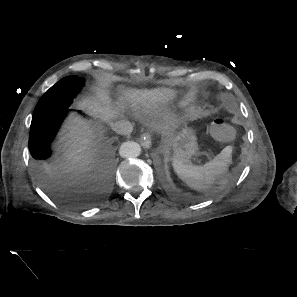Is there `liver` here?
<instances>
[{
	"label": "liver",
	"instance_id": "1",
	"mask_svg": "<svg viewBox=\"0 0 297 297\" xmlns=\"http://www.w3.org/2000/svg\"><path fill=\"white\" fill-rule=\"evenodd\" d=\"M129 99L145 106L165 104L176 96V91L169 88H155L152 90H130L126 93ZM81 106L93 113H100L104 120L114 117V111L102 107L96 100L85 99ZM94 130L88 123L78 117H70L60 138L63 144V170L58 178L63 179V186L71 192H87L93 190L90 186L89 171L93 163Z\"/></svg>",
	"mask_w": 297,
	"mask_h": 297
}]
</instances>
